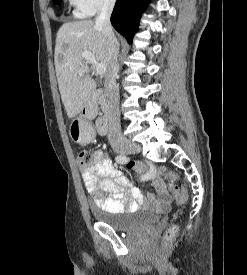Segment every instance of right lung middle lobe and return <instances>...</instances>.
Returning a JSON list of instances; mask_svg holds the SVG:
<instances>
[{
    "mask_svg": "<svg viewBox=\"0 0 247 275\" xmlns=\"http://www.w3.org/2000/svg\"><path fill=\"white\" fill-rule=\"evenodd\" d=\"M55 4H60L61 0H53Z\"/></svg>",
    "mask_w": 247,
    "mask_h": 275,
    "instance_id": "dd1d6c3e",
    "label": "right lung middle lobe"
}]
</instances>
